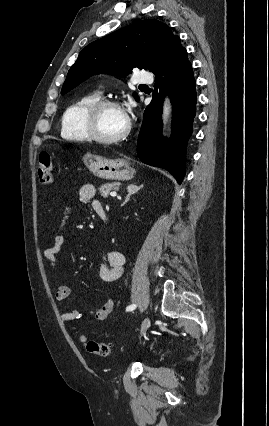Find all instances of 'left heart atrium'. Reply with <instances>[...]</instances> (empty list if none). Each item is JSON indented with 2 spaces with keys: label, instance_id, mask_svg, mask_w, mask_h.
Here are the masks:
<instances>
[{
  "label": "left heart atrium",
  "instance_id": "39dd6f15",
  "mask_svg": "<svg viewBox=\"0 0 269 426\" xmlns=\"http://www.w3.org/2000/svg\"><path fill=\"white\" fill-rule=\"evenodd\" d=\"M123 112H124V111H123ZM124 115H125L126 119H128V116H127V113H126V112H124Z\"/></svg>",
  "mask_w": 269,
  "mask_h": 426
}]
</instances>
